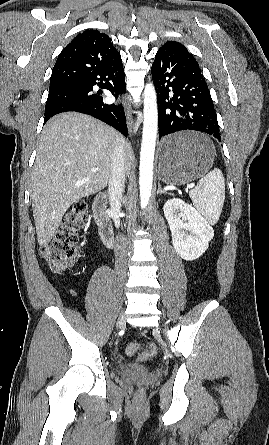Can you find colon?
<instances>
[{
    "mask_svg": "<svg viewBox=\"0 0 269 445\" xmlns=\"http://www.w3.org/2000/svg\"><path fill=\"white\" fill-rule=\"evenodd\" d=\"M87 218V203L84 200L75 202L66 212L53 240L41 249V256L54 270H64L76 261L79 248V230ZM129 355H138L141 360L152 358L156 353L153 344L144 349L132 344L128 347Z\"/></svg>",
    "mask_w": 269,
    "mask_h": 445,
    "instance_id": "colon-1",
    "label": "colon"
}]
</instances>
